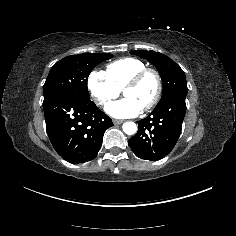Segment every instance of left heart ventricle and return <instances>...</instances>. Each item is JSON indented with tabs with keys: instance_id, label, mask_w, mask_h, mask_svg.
<instances>
[{
	"instance_id": "obj_1",
	"label": "left heart ventricle",
	"mask_w": 236,
	"mask_h": 236,
	"mask_svg": "<svg viewBox=\"0 0 236 236\" xmlns=\"http://www.w3.org/2000/svg\"><path fill=\"white\" fill-rule=\"evenodd\" d=\"M155 92V81L151 75L145 76L137 85L123 91L125 98L132 99L144 108L152 99Z\"/></svg>"
}]
</instances>
